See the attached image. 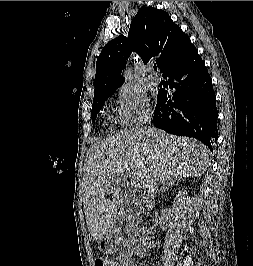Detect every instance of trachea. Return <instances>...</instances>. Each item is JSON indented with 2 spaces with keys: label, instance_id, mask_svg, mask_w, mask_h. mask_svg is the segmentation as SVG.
<instances>
[{
  "label": "trachea",
  "instance_id": "1",
  "mask_svg": "<svg viewBox=\"0 0 253 266\" xmlns=\"http://www.w3.org/2000/svg\"><path fill=\"white\" fill-rule=\"evenodd\" d=\"M153 68H154V70H155V71H157V66H156V65H154V67H153Z\"/></svg>",
  "mask_w": 253,
  "mask_h": 266
}]
</instances>
